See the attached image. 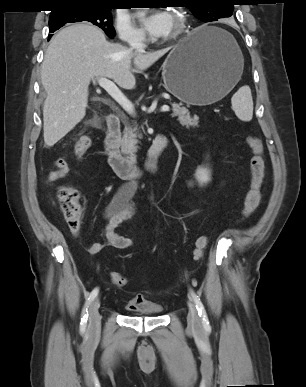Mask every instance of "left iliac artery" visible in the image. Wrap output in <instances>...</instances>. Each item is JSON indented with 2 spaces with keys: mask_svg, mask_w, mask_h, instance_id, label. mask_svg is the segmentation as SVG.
<instances>
[{
  "mask_svg": "<svg viewBox=\"0 0 306 387\" xmlns=\"http://www.w3.org/2000/svg\"><path fill=\"white\" fill-rule=\"evenodd\" d=\"M190 294H191V296L196 304V308L198 310V314L202 320V324H203L204 328L205 329L210 328L208 316H207L206 310L204 308V305L200 300V297L192 289H190Z\"/></svg>",
  "mask_w": 306,
  "mask_h": 387,
  "instance_id": "1",
  "label": "left iliac artery"
}]
</instances>
